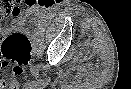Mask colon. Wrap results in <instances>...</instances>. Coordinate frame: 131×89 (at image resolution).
<instances>
[{
  "mask_svg": "<svg viewBox=\"0 0 131 89\" xmlns=\"http://www.w3.org/2000/svg\"><path fill=\"white\" fill-rule=\"evenodd\" d=\"M20 7L10 1L0 0V17L17 16ZM32 46L28 37L22 33H12L1 40L0 43V70L11 66L7 79H0V87L14 88L19 79L24 75L25 68L31 59Z\"/></svg>",
  "mask_w": 131,
  "mask_h": 89,
  "instance_id": "obj_1",
  "label": "colon"
}]
</instances>
